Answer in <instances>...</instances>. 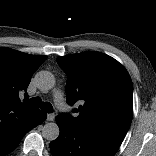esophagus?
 I'll use <instances>...</instances> for the list:
<instances>
[{"mask_svg":"<svg viewBox=\"0 0 156 156\" xmlns=\"http://www.w3.org/2000/svg\"><path fill=\"white\" fill-rule=\"evenodd\" d=\"M55 119V114L54 113H49L48 115H47V120L48 121H53Z\"/></svg>","mask_w":156,"mask_h":156,"instance_id":"obj_1","label":"esophagus"}]
</instances>
